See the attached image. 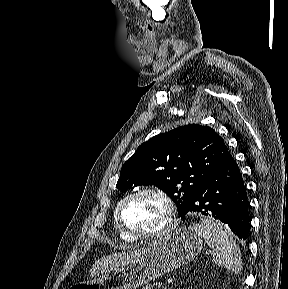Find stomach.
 Segmentation results:
<instances>
[{"label":"stomach","instance_id":"obj_1","mask_svg":"<svg viewBox=\"0 0 288 289\" xmlns=\"http://www.w3.org/2000/svg\"><path fill=\"white\" fill-rule=\"evenodd\" d=\"M202 246V236L192 226H183L155 240L129 262L70 289H136L189 263Z\"/></svg>","mask_w":288,"mask_h":289}]
</instances>
